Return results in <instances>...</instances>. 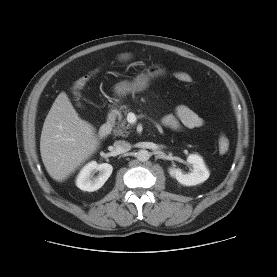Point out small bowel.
I'll return each mask as SVG.
<instances>
[{"mask_svg": "<svg viewBox=\"0 0 277 277\" xmlns=\"http://www.w3.org/2000/svg\"><path fill=\"white\" fill-rule=\"evenodd\" d=\"M162 124L172 130H180L182 127L194 129L202 127L204 120L191 108L181 104L176 107L174 113L162 118Z\"/></svg>", "mask_w": 277, "mask_h": 277, "instance_id": "small-bowel-1", "label": "small bowel"}]
</instances>
